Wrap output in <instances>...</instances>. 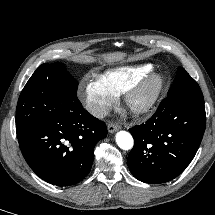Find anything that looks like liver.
<instances>
[{"instance_id": "obj_1", "label": "liver", "mask_w": 215, "mask_h": 215, "mask_svg": "<svg viewBox=\"0 0 215 215\" xmlns=\"http://www.w3.org/2000/svg\"><path fill=\"white\" fill-rule=\"evenodd\" d=\"M101 57L107 62H114L117 60H121L124 57V53L116 52L110 54H103Z\"/></svg>"}]
</instances>
